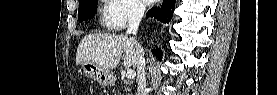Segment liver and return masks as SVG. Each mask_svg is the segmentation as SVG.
<instances>
[{
    "mask_svg": "<svg viewBox=\"0 0 277 95\" xmlns=\"http://www.w3.org/2000/svg\"><path fill=\"white\" fill-rule=\"evenodd\" d=\"M123 53V65L127 68L136 66L137 52L130 38L110 33L89 34L78 45L76 64L89 61L110 70L117 67Z\"/></svg>",
    "mask_w": 277,
    "mask_h": 95,
    "instance_id": "6515ba94",
    "label": "liver"
}]
</instances>
